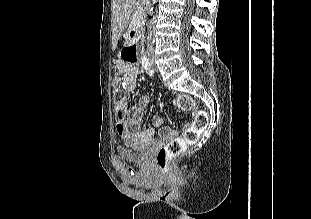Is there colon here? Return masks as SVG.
<instances>
[{"instance_id": "5ec220e1", "label": "colon", "mask_w": 311, "mask_h": 219, "mask_svg": "<svg viewBox=\"0 0 311 219\" xmlns=\"http://www.w3.org/2000/svg\"><path fill=\"white\" fill-rule=\"evenodd\" d=\"M130 62L136 61V54L129 50L124 56ZM116 90L114 93V115L119 122L126 118L128 100L124 92L126 87L125 77L114 79ZM176 106L182 111H193L192 123L183 131V137H175L166 146L160 148L156 154V163L161 172H167L171 161L182 154L187 144L196 143L207 127L208 116L204 110L196 107L194 100L186 94H180L176 99Z\"/></svg>"}]
</instances>
